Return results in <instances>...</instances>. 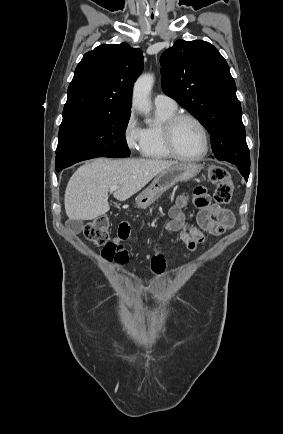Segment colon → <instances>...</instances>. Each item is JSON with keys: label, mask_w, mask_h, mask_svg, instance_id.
Masks as SVG:
<instances>
[{"label": "colon", "mask_w": 283, "mask_h": 434, "mask_svg": "<svg viewBox=\"0 0 283 434\" xmlns=\"http://www.w3.org/2000/svg\"><path fill=\"white\" fill-rule=\"evenodd\" d=\"M208 176L210 181L215 185V203L218 205L229 204L233 195V183L228 170L223 166L214 165L209 168ZM108 228V217H97L87 224L85 236L89 241L105 248L109 244Z\"/></svg>", "instance_id": "5ec220e1"}]
</instances>
